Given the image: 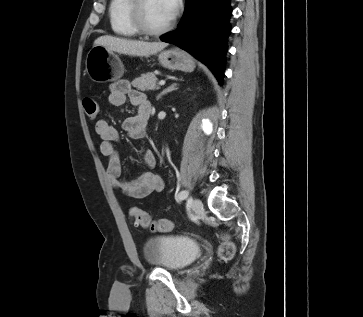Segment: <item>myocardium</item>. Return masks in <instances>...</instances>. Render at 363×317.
I'll use <instances>...</instances> for the list:
<instances>
[{"instance_id": "f54148a6", "label": "myocardium", "mask_w": 363, "mask_h": 317, "mask_svg": "<svg viewBox=\"0 0 363 317\" xmlns=\"http://www.w3.org/2000/svg\"><path fill=\"white\" fill-rule=\"evenodd\" d=\"M145 0H131L129 5V21L138 33L148 36L156 37L167 33L173 26L174 17L159 29H152L148 27L143 18V7Z\"/></svg>"}]
</instances>
